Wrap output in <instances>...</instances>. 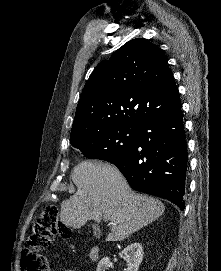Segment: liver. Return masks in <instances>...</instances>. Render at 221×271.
Wrapping results in <instances>:
<instances>
[{"label":"liver","instance_id":"obj_1","mask_svg":"<svg viewBox=\"0 0 221 271\" xmlns=\"http://www.w3.org/2000/svg\"><path fill=\"white\" fill-rule=\"evenodd\" d=\"M72 181L77 189L61 205L62 223L82 227L88 219L100 223L108 217L112 227L106 241H123L165 209L160 199L132 191L118 167L110 163L81 161L73 169Z\"/></svg>","mask_w":221,"mask_h":271}]
</instances>
